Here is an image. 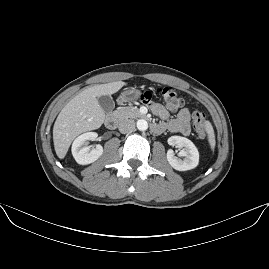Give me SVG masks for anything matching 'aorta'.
Masks as SVG:
<instances>
[{
  "mask_svg": "<svg viewBox=\"0 0 269 269\" xmlns=\"http://www.w3.org/2000/svg\"><path fill=\"white\" fill-rule=\"evenodd\" d=\"M137 128H138L140 131H145V130H147V128H148V123H147V121L144 120V119H139V120L137 121Z\"/></svg>",
  "mask_w": 269,
  "mask_h": 269,
  "instance_id": "762f6f07",
  "label": "aorta"
}]
</instances>
